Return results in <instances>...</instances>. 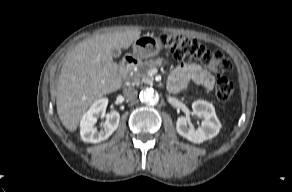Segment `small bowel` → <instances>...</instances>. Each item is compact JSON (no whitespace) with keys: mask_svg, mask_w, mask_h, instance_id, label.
<instances>
[{"mask_svg":"<svg viewBox=\"0 0 292 192\" xmlns=\"http://www.w3.org/2000/svg\"><path fill=\"white\" fill-rule=\"evenodd\" d=\"M215 79L214 76L202 69L197 64H180L172 72L168 88L172 92L186 89L190 83H194L207 90L212 89Z\"/></svg>","mask_w":292,"mask_h":192,"instance_id":"1","label":"small bowel"}]
</instances>
